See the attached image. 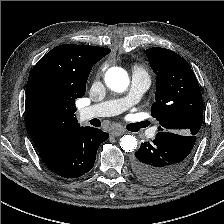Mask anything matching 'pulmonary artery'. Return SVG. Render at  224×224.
<instances>
[{
    "instance_id": "e3ab8cb5",
    "label": "pulmonary artery",
    "mask_w": 224,
    "mask_h": 224,
    "mask_svg": "<svg viewBox=\"0 0 224 224\" xmlns=\"http://www.w3.org/2000/svg\"><path fill=\"white\" fill-rule=\"evenodd\" d=\"M150 85L147 74L141 71L133 73L132 83L128 94L120 99L109 100L98 104L86 106L79 111L82 121L95 117H108L118 115L135 105ZM156 134V128L151 130V136Z\"/></svg>"
}]
</instances>
